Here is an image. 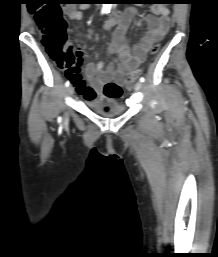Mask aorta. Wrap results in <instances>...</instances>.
<instances>
[{
	"mask_svg": "<svg viewBox=\"0 0 218 257\" xmlns=\"http://www.w3.org/2000/svg\"><path fill=\"white\" fill-rule=\"evenodd\" d=\"M111 6H112V4H103L102 11L104 13H109L111 10Z\"/></svg>",
	"mask_w": 218,
	"mask_h": 257,
	"instance_id": "obj_1",
	"label": "aorta"
}]
</instances>
